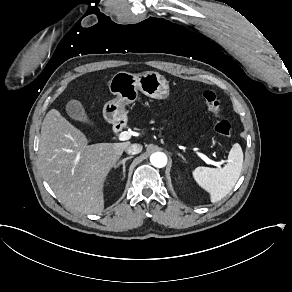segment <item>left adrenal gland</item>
Here are the masks:
<instances>
[{
    "mask_svg": "<svg viewBox=\"0 0 292 292\" xmlns=\"http://www.w3.org/2000/svg\"><path fill=\"white\" fill-rule=\"evenodd\" d=\"M178 156H180L185 161V158H184L183 155H181L180 153H178Z\"/></svg>",
    "mask_w": 292,
    "mask_h": 292,
    "instance_id": "1",
    "label": "left adrenal gland"
}]
</instances>
